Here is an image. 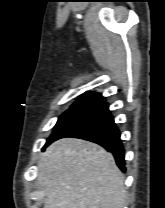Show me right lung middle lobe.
I'll return each instance as SVG.
<instances>
[{
    "instance_id": "1",
    "label": "right lung middle lobe",
    "mask_w": 165,
    "mask_h": 208,
    "mask_svg": "<svg viewBox=\"0 0 165 208\" xmlns=\"http://www.w3.org/2000/svg\"><path fill=\"white\" fill-rule=\"evenodd\" d=\"M91 110L92 108H88V107H70V109L65 111L59 117L54 127V131L51 134V136L48 138L44 148L47 147L50 143H52L67 128H69L72 124L78 121L81 117L89 113ZM44 148L42 150H44Z\"/></svg>"
}]
</instances>
